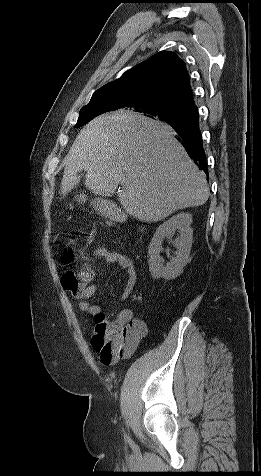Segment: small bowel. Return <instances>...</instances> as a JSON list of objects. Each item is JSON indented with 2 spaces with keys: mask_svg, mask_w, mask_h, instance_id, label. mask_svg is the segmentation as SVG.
Segmentation results:
<instances>
[{
  "mask_svg": "<svg viewBox=\"0 0 261 476\" xmlns=\"http://www.w3.org/2000/svg\"><path fill=\"white\" fill-rule=\"evenodd\" d=\"M94 256L102 259L106 263L117 264L126 271L127 282L121 298L122 301H127L137 284V273L133 261L123 253L110 251L102 247L97 248L94 251ZM91 272L92 278L90 282L81 290L74 293V295L79 301V308L81 311L97 318L102 314L100 306L90 302V299L97 291V284L91 283L94 277V271L91 270ZM110 326L120 329L122 331V337L108 355L100 353L101 361L107 365L114 364L120 359L132 355L147 330L144 321L135 318L132 312L128 309H122L116 315Z\"/></svg>",
  "mask_w": 261,
  "mask_h": 476,
  "instance_id": "1",
  "label": "small bowel"
}]
</instances>
